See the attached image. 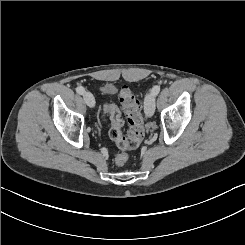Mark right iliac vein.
<instances>
[{
	"label": "right iliac vein",
	"instance_id": "obj_1",
	"mask_svg": "<svg viewBox=\"0 0 245 245\" xmlns=\"http://www.w3.org/2000/svg\"><path fill=\"white\" fill-rule=\"evenodd\" d=\"M83 98L89 107L93 108L95 106V99H94L92 93L84 92Z\"/></svg>",
	"mask_w": 245,
	"mask_h": 245
}]
</instances>
